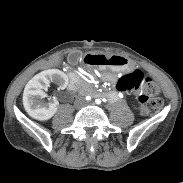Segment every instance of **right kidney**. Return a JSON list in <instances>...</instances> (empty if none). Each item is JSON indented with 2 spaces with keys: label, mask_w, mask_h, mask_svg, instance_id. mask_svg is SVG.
<instances>
[{
  "label": "right kidney",
  "mask_w": 183,
  "mask_h": 183,
  "mask_svg": "<svg viewBox=\"0 0 183 183\" xmlns=\"http://www.w3.org/2000/svg\"><path fill=\"white\" fill-rule=\"evenodd\" d=\"M50 83H56L60 89H65L68 85V78L60 70L49 69L35 75L25 87L23 105L29 116L36 120H49L57 112L59 102L56 99L49 103L42 100L47 97L44 89L49 87Z\"/></svg>",
  "instance_id": "1"
}]
</instances>
